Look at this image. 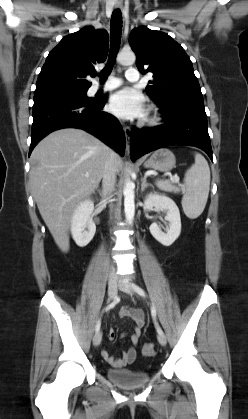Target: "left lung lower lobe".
Returning <instances> with one entry per match:
<instances>
[{
    "instance_id": "0a47b994",
    "label": "left lung lower lobe",
    "mask_w": 248,
    "mask_h": 419,
    "mask_svg": "<svg viewBox=\"0 0 248 419\" xmlns=\"http://www.w3.org/2000/svg\"><path fill=\"white\" fill-rule=\"evenodd\" d=\"M165 124L152 129H134L130 136L132 160L169 145H190L205 151L212 159V149L204 104H187L161 110Z\"/></svg>"
}]
</instances>
